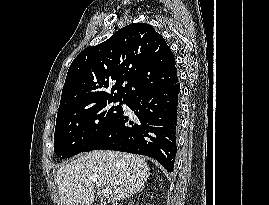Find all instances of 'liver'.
<instances>
[{"instance_id":"liver-1","label":"liver","mask_w":269,"mask_h":205,"mask_svg":"<svg viewBox=\"0 0 269 205\" xmlns=\"http://www.w3.org/2000/svg\"><path fill=\"white\" fill-rule=\"evenodd\" d=\"M149 167L140 156L96 150L63 164L57 171L61 205H91L97 188L109 189V202L144 188ZM114 205V204H113Z\"/></svg>"}]
</instances>
